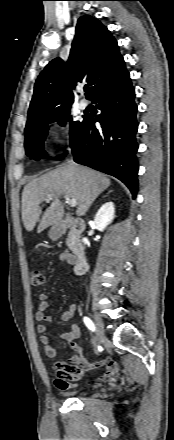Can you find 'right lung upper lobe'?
<instances>
[{"instance_id":"1","label":"right lung upper lobe","mask_w":174,"mask_h":440,"mask_svg":"<svg viewBox=\"0 0 174 440\" xmlns=\"http://www.w3.org/2000/svg\"><path fill=\"white\" fill-rule=\"evenodd\" d=\"M118 48L117 41L99 20L90 15L80 17L67 63L60 58L52 60L36 80L25 130L70 109L73 95L69 87L87 81L90 97L100 82L124 61Z\"/></svg>"}]
</instances>
